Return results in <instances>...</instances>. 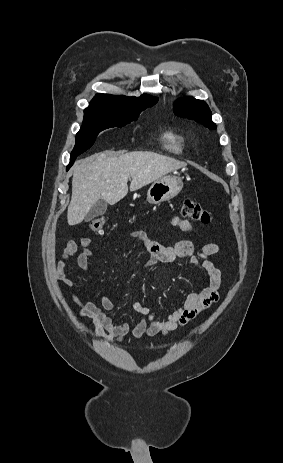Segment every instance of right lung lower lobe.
Listing matches in <instances>:
<instances>
[{"instance_id":"1","label":"right lung lower lobe","mask_w":283,"mask_h":463,"mask_svg":"<svg viewBox=\"0 0 283 463\" xmlns=\"http://www.w3.org/2000/svg\"><path fill=\"white\" fill-rule=\"evenodd\" d=\"M76 157H77V156H75V157H70V163H69V165L67 166V170L72 166V164L74 163Z\"/></svg>"}]
</instances>
